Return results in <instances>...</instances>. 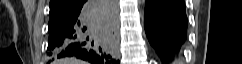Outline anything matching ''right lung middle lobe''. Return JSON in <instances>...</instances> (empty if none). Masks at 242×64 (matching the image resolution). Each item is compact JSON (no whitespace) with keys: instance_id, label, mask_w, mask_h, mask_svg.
<instances>
[{"instance_id":"right-lung-middle-lobe-1","label":"right lung middle lobe","mask_w":242,"mask_h":64,"mask_svg":"<svg viewBox=\"0 0 242 64\" xmlns=\"http://www.w3.org/2000/svg\"><path fill=\"white\" fill-rule=\"evenodd\" d=\"M68 16L69 15L65 14V13H51L50 18H49L48 27L52 26L57 20L63 19Z\"/></svg>"}]
</instances>
